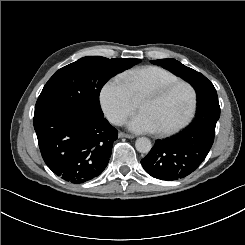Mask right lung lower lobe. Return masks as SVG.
<instances>
[{"instance_id": "1", "label": "right lung lower lobe", "mask_w": 245, "mask_h": 245, "mask_svg": "<svg viewBox=\"0 0 245 245\" xmlns=\"http://www.w3.org/2000/svg\"><path fill=\"white\" fill-rule=\"evenodd\" d=\"M33 123L45 163L62 179L83 183L107 166L118 131L104 117L53 107L36 111Z\"/></svg>"}]
</instances>
